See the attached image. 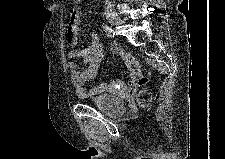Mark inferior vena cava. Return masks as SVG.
Returning a JSON list of instances; mask_svg holds the SVG:
<instances>
[{
	"instance_id": "obj_1",
	"label": "inferior vena cava",
	"mask_w": 225,
	"mask_h": 159,
	"mask_svg": "<svg viewBox=\"0 0 225 159\" xmlns=\"http://www.w3.org/2000/svg\"><path fill=\"white\" fill-rule=\"evenodd\" d=\"M104 3L107 4V5H110L111 4V2L108 1V0L104 1Z\"/></svg>"
}]
</instances>
